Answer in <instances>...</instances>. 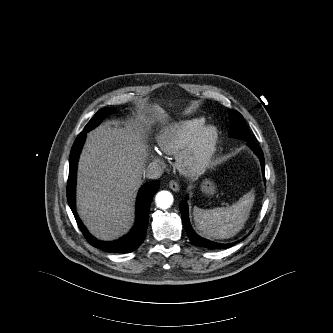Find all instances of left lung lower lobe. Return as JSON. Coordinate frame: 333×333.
Here are the masks:
<instances>
[{
    "instance_id": "1",
    "label": "left lung lower lobe",
    "mask_w": 333,
    "mask_h": 333,
    "mask_svg": "<svg viewBox=\"0 0 333 333\" xmlns=\"http://www.w3.org/2000/svg\"><path fill=\"white\" fill-rule=\"evenodd\" d=\"M248 145L259 156V159L261 161V166H262V172L265 176L264 156H263V152H262L261 148L258 147V145L255 144L253 141L248 142ZM179 208H180L181 215H182L183 226H184L190 240L194 244H196L200 247H205V248H210V249H224V248H228L235 244V243H230V244L216 243V242H212V241H209L207 239H204V238L198 236L190 225L189 218H188L187 203L185 201H182L181 204L179 205Z\"/></svg>"
}]
</instances>
